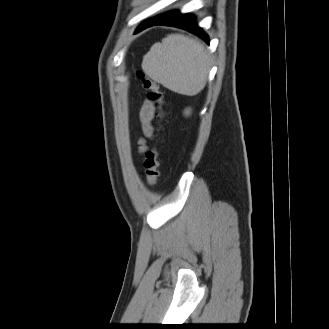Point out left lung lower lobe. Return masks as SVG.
<instances>
[{
	"label": "left lung lower lobe",
	"mask_w": 329,
	"mask_h": 329,
	"mask_svg": "<svg viewBox=\"0 0 329 329\" xmlns=\"http://www.w3.org/2000/svg\"><path fill=\"white\" fill-rule=\"evenodd\" d=\"M154 25H166L181 28L187 30L209 44L208 36L203 32L201 28L197 26L195 22V16L191 14H180L178 11L168 12L160 16L154 17L144 22L137 30L136 33Z\"/></svg>",
	"instance_id": "left-lung-lower-lobe-1"
}]
</instances>
